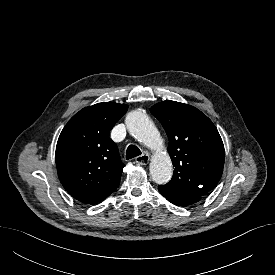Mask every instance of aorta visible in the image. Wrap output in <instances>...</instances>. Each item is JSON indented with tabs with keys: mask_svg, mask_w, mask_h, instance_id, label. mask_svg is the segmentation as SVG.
Wrapping results in <instances>:
<instances>
[{
	"mask_svg": "<svg viewBox=\"0 0 275 275\" xmlns=\"http://www.w3.org/2000/svg\"><path fill=\"white\" fill-rule=\"evenodd\" d=\"M129 133L145 146L155 151L150 163V175L157 184L167 183L173 173L170 156L162 153V139L159 131L143 112L135 110L130 112L125 120Z\"/></svg>",
	"mask_w": 275,
	"mask_h": 275,
	"instance_id": "aorta-1",
	"label": "aorta"
}]
</instances>
